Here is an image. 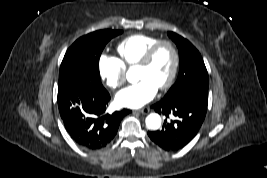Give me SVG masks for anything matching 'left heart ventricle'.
Returning a JSON list of instances; mask_svg holds the SVG:
<instances>
[{"instance_id": "1", "label": "left heart ventricle", "mask_w": 267, "mask_h": 178, "mask_svg": "<svg viewBox=\"0 0 267 178\" xmlns=\"http://www.w3.org/2000/svg\"><path fill=\"white\" fill-rule=\"evenodd\" d=\"M172 64V52L168 46H163L157 51L150 65L147 67H138L137 79H148L159 87L167 80Z\"/></svg>"}]
</instances>
